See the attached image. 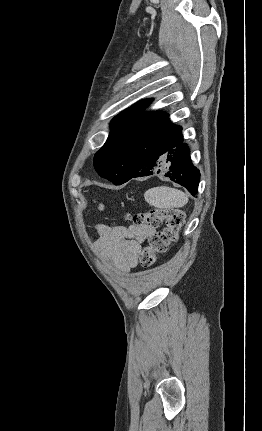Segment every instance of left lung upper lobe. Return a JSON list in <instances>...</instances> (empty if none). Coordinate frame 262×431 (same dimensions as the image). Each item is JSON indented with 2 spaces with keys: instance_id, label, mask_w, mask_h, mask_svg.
<instances>
[{
  "instance_id": "5c2ea615",
  "label": "left lung upper lobe",
  "mask_w": 262,
  "mask_h": 431,
  "mask_svg": "<svg viewBox=\"0 0 262 431\" xmlns=\"http://www.w3.org/2000/svg\"><path fill=\"white\" fill-rule=\"evenodd\" d=\"M151 101L141 100L118 114L111 121L106 143L95 154V170L115 185L128 181L138 150L150 147L155 139L179 127L171 124L164 112L140 114Z\"/></svg>"
}]
</instances>
